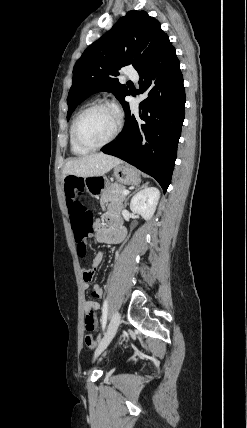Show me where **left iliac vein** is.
I'll return each mask as SVG.
<instances>
[{"label": "left iliac vein", "mask_w": 247, "mask_h": 428, "mask_svg": "<svg viewBox=\"0 0 247 428\" xmlns=\"http://www.w3.org/2000/svg\"><path fill=\"white\" fill-rule=\"evenodd\" d=\"M121 323V315L118 311H116L113 316L112 319L110 321V324L108 326V329L104 335V337L102 338V340L100 341L96 351H95V357L99 356L109 345V343L112 341L113 337L116 334V331L119 327Z\"/></svg>", "instance_id": "1"}]
</instances>
